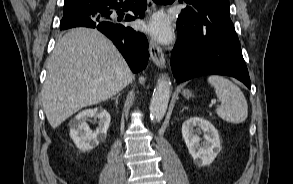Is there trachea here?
Returning <instances> with one entry per match:
<instances>
[{
    "mask_svg": "<svg viewBox=\"0 0 293 184\" xmlns=\"http://www.w3.org/2000/svg\"><path fill=\"white\" fill-rule=\"evenodd\" d=\"M155 3H159L161 1H164V0H153Z\"/></svg>",
    "mask_w": 293,
    "mask_h": 184,
    "instance_id": "obj_1",
    "label": "trachea"
}]
</instances>
